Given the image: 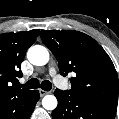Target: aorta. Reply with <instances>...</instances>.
<instances>
[{
  "label": "aorta",
  "instance_id": "1",
  "mask_svg": "<svg viewBox=\"0 0 119 119\" xmlns=\"http://www.w3.org/2000/svg\"><path fill=\"white\" fill-rule=\"evenodd\" d=\"M27 58L33 65L43 66L49 61V52L44 46L35 45L29 48ZM42 105L46 110H54L57 107V99L54 95H46L42 99Z\"/></svg>",
  "mask_w": 119,
  "mask_h": 119
}]
</instances>
